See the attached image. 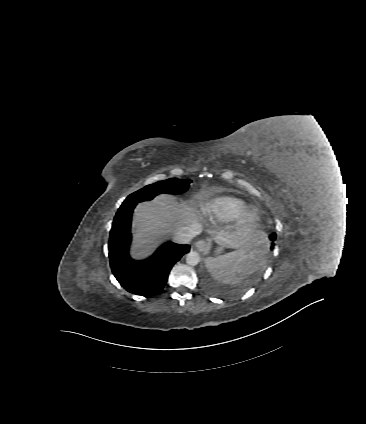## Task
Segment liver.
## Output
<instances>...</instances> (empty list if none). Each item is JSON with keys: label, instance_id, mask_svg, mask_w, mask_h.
Instances as JSON below:
<instances>
[{"label": "liver", "instance_id": "1", "mask_svg": "<svg viewBox=\"0 0 366 424\" xmlns=\"http://www.w3.org/2000/svg\"><path fill=\"white\" fill-rule=\"evenodd\" d=\"M198 210L193 200L178 202L174 197L162 194L151 202L139 203L133 216L132 255L139 260L147 259L156 248L177 229L195 226L197 234L202 232L198 222ZM222 247L245 248L263 241V234L247 226H237L235 231H208Z\"/></svg>", "mask_w": 366, "mask_h": 424}]
</instances>
